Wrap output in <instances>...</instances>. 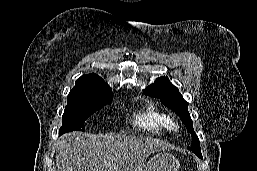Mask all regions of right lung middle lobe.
I'll return each instance as SVG.
<instances>
[{
    "mask_svg": "<svg viewBox=\"0 0 257 171\" xmlns=\"http://www.w3.org/2000/svg\"><path fill=\"white\" fill-rule=\"evenodd\" d=\"M62 116L59 134L70 131H84L85 120L97 110L111 103L113 93L97 90L72 89Z\"/></svg>",
    "mask_w": 257,
    "mask_h": 171,
    "instance_id": "1",
    "label": "right lung middle lobe"
}]
</instances>
